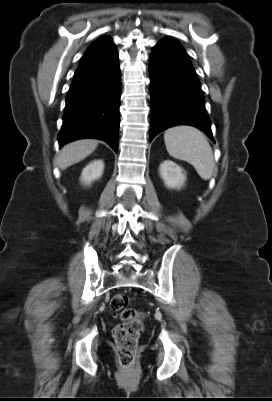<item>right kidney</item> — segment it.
<instances>
[{"label": "right kidney", "instance_id": "obj_1", "mask_svg": "<svg viewBox=\"0 0 272 401\" xmlns=\"http://www.w3.org/2000/svg\"><path fill=\"white\" fill-rule=\"evenodd\" d=\"M104 163L102 160H95L89 163L82 171L81 182L90 185L94 180L102 176Z\"/></svg>", "mask_w": 272, "mask_h": 401}]
</instances>
